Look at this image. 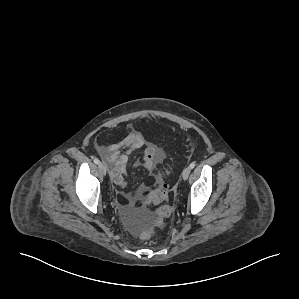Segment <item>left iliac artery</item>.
Returning <instances> with one entry per match:
<instances>
[{
	"instance_id": "left-iliac-artery-1",
	"label": "left iliac artery",
	"mask_w": 299,
	"mask_h": 299,
	"mask_svg": "<svg viewBox=\"0 0 299 299\" xmlns=\"http://www.w3.org/2000/svg\"><path fill=\"white\" fill-rule=\"evenodd\" d=\"M190 169H193L195 167V163L192 162L190 165H189Z\"/></svg>"
}]
</instances>
